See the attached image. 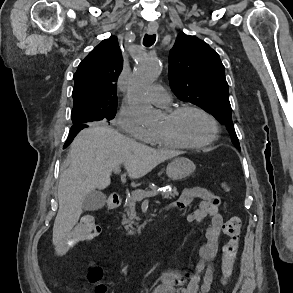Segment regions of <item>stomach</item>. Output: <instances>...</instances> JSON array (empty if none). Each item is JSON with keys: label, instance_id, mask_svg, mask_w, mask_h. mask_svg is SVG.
Wrapping results in <instances>:
<instances>
[{"label": "stomach", "instance_id": "obj_1", "mask_svg": "<svg viewBox=\"0 0 293 293\" xmlns=\"http://www.w3.org/2000/svg\"><path fill=\"white\" fill-rule=\"evenodd\" d=\"M195 168L193 161L180 157L168 164L166 174L171 180L179 181L189 177L195 171Z\"/></svg>", "mask_w": 293, "mask_h": 293}]
</instances>
